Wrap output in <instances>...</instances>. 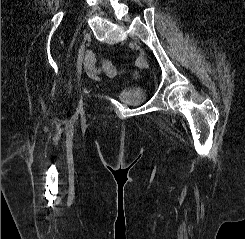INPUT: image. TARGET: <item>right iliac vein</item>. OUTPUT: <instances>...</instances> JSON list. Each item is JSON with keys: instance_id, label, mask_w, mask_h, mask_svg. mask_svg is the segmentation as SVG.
Here are the masks:
<instances>
[{"instance_id": "obj_1", "label": "right iliac vein", "mask_w": 245, "mask_h": 239, "mask_svg": "<svg viewBox=\"0 0 245 239\" xmlns=\"http://www.w3.org/2000/svg\"><path fill=\"white\" fill-rule=\"evenodd\" d=\"M88 38V34L84 36V40L80 46V52H79V65H78V79L80 80L81 78V73H82V65H83V57H84V52H85V42L86 39ZM83 106V101H82V96L78 100V109L81 110Z\"/></svg>"}]
</instances>
